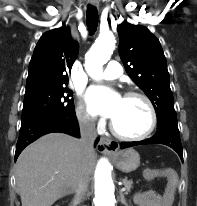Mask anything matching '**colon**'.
Masks as SVG:
<instances>
[{"label": "colon", "instance_id": "1", "mask_svg": "<svg viewBox=\"0 0 197 206\" xmlns=\"http://www.w3.org/2000/svg\"><path fill=\"white\" fill-rule=\"evenodd\" d=\"M174 192H175V183L173 181H170L168 184L165 195H164V206H170L173 198H174Z\"/></svg>", "mask_w": 197, "mask_h": 206}]
</instances>
